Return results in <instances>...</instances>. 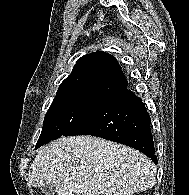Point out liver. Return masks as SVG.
<instances>
[{"mask_svg":"<svg viewBox=\"0 0 189 195\" xmlns=\"http://www.w3.org/2000/svg\"><path fill=\"white\" fill-rule=\"evenodd\" d=\"M29 183L58 195H132L152 188L156 167L133 148L91 136L62 137L40 149Z\"/></svg>","mask_w":189,"mask_h":195,"instance_id":"obj_1","label":"liver"}]
</instances>
